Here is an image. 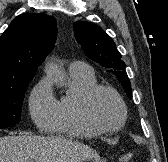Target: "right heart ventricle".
Listing matches in <instances>:
<instances>
[{
    "label": "right heart ventricle",
    "instance_id": "1",
    "mask_svg": "<svg viewBox=\"0 0 168 162\" xmlns=\"http://www.w3.org/2000/svg\"><path fill=\"white\" fill-rule=\"evenodd\" d=\"M96 84L93 71L88 73L69 71V87L57 101V118L50 128L53 132L71 137H91L100 134L101 131L85 120L81 110L84 94Z\"/></svg>",
    "mask_w": 168,
    "mask_h": 162
}]
</instances>
